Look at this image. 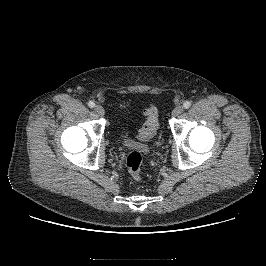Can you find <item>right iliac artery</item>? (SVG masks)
Returning <instances> with one entry per match:
<instances>
[{"label": "right iliac artery", "instance_id": "right-iliac-artery-1", "mask_svg": "<svg viewBox=\"0 0 266 266\" xmlns=\"http://www.w3.org/2000/svg\"><path fill=\"white\" fill-rule=\"evenodd\" d=\"M88 106H89L90 108H94V107H95V103H94L93 101H89V102H88Z\"/></svg>", "mask_w": 266, "mask_h": 266}]
</instances>
